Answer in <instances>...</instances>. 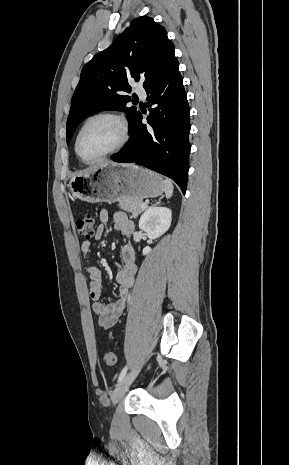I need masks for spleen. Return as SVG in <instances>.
Masks as SVG:
<instances>
[{
  "label": "spleen",
  "instance_id": "1",
  "mask_svg": "<svg viewBox=\"0 0 289 465\" xmlns=\"http://www.w3.org/2000/svg\"><path fill=\"white\" fill-rule=\"evenodd\" d=\"M173 189H174V186H173L171 180L165 179L164 180V191H165V195H166L167 199L171 198V196L173 194Z\"/></svg>",
  "mask_w": 289,
  "mask_h": 465
}]
</instances>
